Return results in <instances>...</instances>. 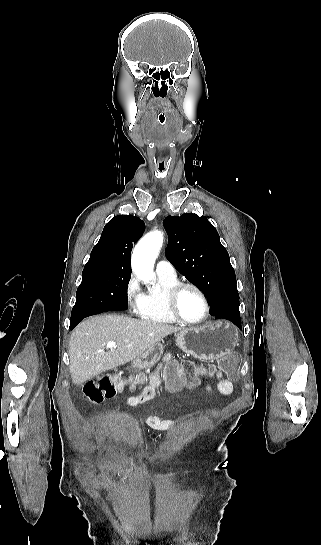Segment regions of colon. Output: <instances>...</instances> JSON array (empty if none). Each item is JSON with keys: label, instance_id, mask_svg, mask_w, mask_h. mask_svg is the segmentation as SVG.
Here are the masks:
<instances>
[{"label": "colon", "instance_id": "colon-1", "mask_svg": "<svg viewBox=\"0 0 321 545\" xmlns=\"http://www.w3.org/2000/svg\"><path fill=\"white\" fill-rule=\"evenodd\" d=\"M239 359L232 354L225 357L220 362V367L231 379H236L238 376ZM201 371L191 362L184 364L185 378L178 377L174 370L169 372V387L171 389H179L183 385L194 388L199 384V376ZM123 387V383L112 376H101L95 380L88 381L83 387L85 398L93 404H100L105 399L116 395Z\"/></svg>", "mask_w": 321, "mask_h": 545}]
</instances>
